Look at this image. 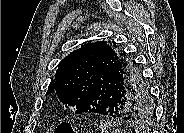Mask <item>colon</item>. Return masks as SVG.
<instances>
[{
  "mask_svg": "<svg viewBox=\"0 0 184 133\" xmlns=\"http://www.w3.org/2000/svg\"><path fill=\"white\" fill-rule=\"evenodd\" d=\"M55 133H75V131L73 130L70 124L61 123L56 127Z\"/></svg>",
  "mask_w": 184,
  "mask_h": 133,
  "instance_id": "5ec220e1",
  "label": "colon"
}]
</instances>
